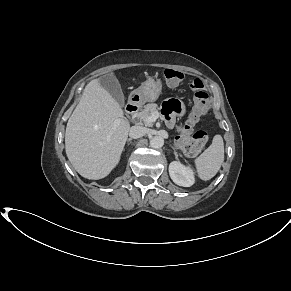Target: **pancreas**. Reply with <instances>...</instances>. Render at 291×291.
I'll return each instance as SVG.
<instances>
[{"label":"pancreas","instance_id":"cf45deb5","mask_svg":"<svg viewBox=\"0 0 291 291\" xmlns=\"http://www.w3.org/2000/svg\"><path fill=\"white\" fill-rule=\"evenodd\" d=\"M153 112H158V105L156 103L147 104L144 109L138 113V118L142 120L146 125L150 126L152 123H146V119L151 116ZM195 155V154H194Z\"/></svg>","mask_w":291,"mask_h":291}]
</instances>
